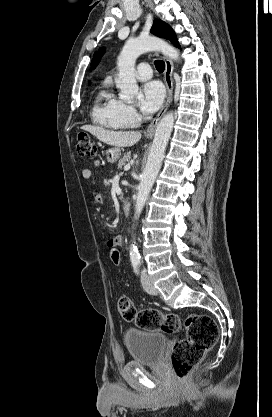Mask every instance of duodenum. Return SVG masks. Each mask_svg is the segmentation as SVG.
Segmentation results:
<instances>
[{
  "label": "duodenum",
  "instance_id": "410a0bca",
  "mask_svg": "<svg viewBox=\"0 0 272 417\" xmlns=\"http://www.w3.org/2000/svg\"><path fill=\"white\" fill-rule=\"evenodd\" d=\"M131 209V204L129 201L125 200L122 203V210L125 215H128Z\"/></svg>",
  "mask_w": 272,
  "mask_h": 417
}]
</instances>
